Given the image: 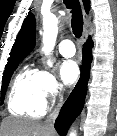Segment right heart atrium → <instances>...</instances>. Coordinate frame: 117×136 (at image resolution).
<instances>
[{"instance_id":"d8ad5b80","label":"right heart atrium","mask_w":117,"mask_h":136,"mask_svg":"<svg viewBox=\"0 0 117 136\" xmlns=\"http://www.w3.org/2000/svg\"><path fill=\"white\" fill-rule=\"evenodd\" d=\"M38 93L43 103L56 100L62 92V86L53 73L46 69L37 71Z\"/></svg>"}]
</instances>
